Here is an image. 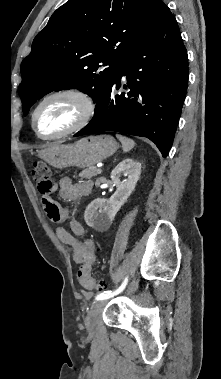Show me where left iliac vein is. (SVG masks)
<instances>
[{
  "label": "left iliac vein",
  "mask_w": 221,
  "mask_h": 379,
  "mask_svg": "<svg viewBox=\"0 0 221 379\" xmlns=\"http://www.w3.org/2000/svg\"><path fill=\"white\" fill-rule=\"evenodd\" d=\"M136 286H137V282L133 281L131 286L129 287L128 293H132L136 289ZM104 305H105V300H99L95 302L94 304H92L86 318V326L89 332H93L95 330L98 323V318L100 314L102 313Z\"/></svg>",
  "instance_id": "4c4485c4"
}]
</instances>
